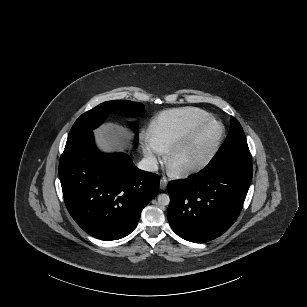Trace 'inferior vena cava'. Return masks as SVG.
Instances as JSON below:
<instances>
[{"instance_id":"obj_1","label":"inferior vena cava","mask_w":307,"mask_h":307,"mask_svg":"<svg viewBox=\"0 0 307 307\" xmlns=\"http://www.w3.org/2000/svg\"><path fill=\"white\" fill-rule=\"evenodd\" d=\"M137 167L144 171L154 172L158 170V162L155 157L151 156L139 161Z\"/></svg>"}]
</instances>
